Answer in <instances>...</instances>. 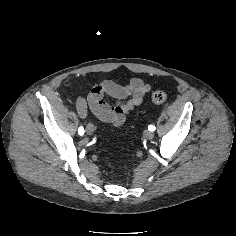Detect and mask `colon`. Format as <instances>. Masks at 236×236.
Listing matches in <instances>:
<instances>
[{"label":"colon","instance_id":"colon-1","mask_svg":"<svg viewBox=\"0 0 236 236\" xmlns=\"http://www.w3.org/2000/svg\"><path fill=\"white\" fill-rule=\"evenodd\" d=\"M167 100V94L163 91H156L152 95V101L156 104L164 103Z\"/></svg>","mask_w":236,"mask_h":236}]
</instances>
